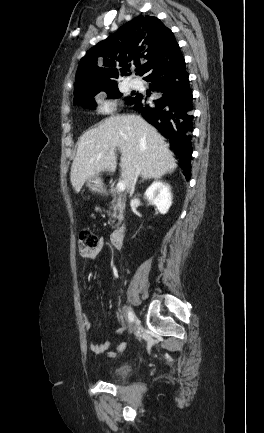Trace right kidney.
I'll return each instance as SVG.
<instances>
[{"mask_svg": "<svg viewBox=\"0 0 264 433\" xmlns=\"http://www.w3.org/2000/svg\"><path fill=\"white\" fill-rule=\"evenodd\" d=\"M146 198L152 202L161 214H166L172 205V194L168 184L155 181L145 192Z\"/></svg>", "mask_w": 264, "mask_h": 433, "instance_id": "ca27d5eb", "label": "right kidney"}]
</instances>
